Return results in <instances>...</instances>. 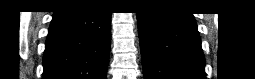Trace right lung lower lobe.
<instances>
[{"label":"right lung lower lobe","mask_w":255,"mask_h":79,"mask_svg":"<svg viewBox=\"0 0 255 79\" xmlns=\"http://www.w3.org/2000/svg\"><path fill=\"white\" fill-rule=\"evenodd\" d=\"M111 13L91 6L54 12L43 57V79H105Z\"/></svg>","instance_id":"obj_1"}]
</instances>
